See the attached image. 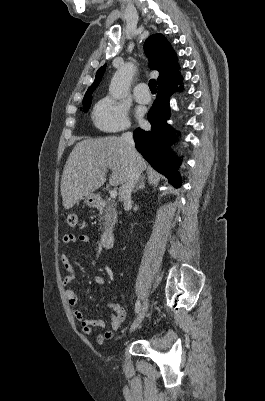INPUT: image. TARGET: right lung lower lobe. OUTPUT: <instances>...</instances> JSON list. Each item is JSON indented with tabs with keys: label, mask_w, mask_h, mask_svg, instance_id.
I'll list each match as a JSON object with an SVG mask.
<instances>
[{
	"label": "right lung lower lobe",
	"mask_w": 265,
	"mask_h": 401,
	"mask_svg": "<svg viewBox=\"0 0 265 401\" xmlns=\"http://www.w3.org/2000/svg\"><path fill=\"white\" fill-rule=\"evenodd\" d=\"M177 85L158 89L156 100L147 115L148 121L152 125L151 130L144 131L137 128L133 136L136 149L149 164L165 175L172 185L180 187L181 179L176 171L174 166L176 162L169 149L174 138V131L166 123L170 117L169 98L173 91L181 89V87L177 88Z\"/></svg>",
	"instance_id": "1"
}]
</instances>
